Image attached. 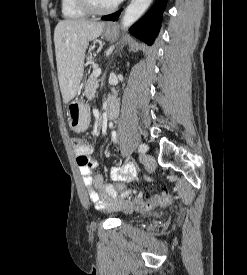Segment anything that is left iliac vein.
<instances>
[{
  "label": "left iliac vein",
  "instance_id": "left-iliac-vein-1",
  "mask_svg": "<svg viewBox=\"0 0 247 275\" xmlns=\"http://www.w3.org/2000/svg\"><path fill=\"white\" fill-rule=\"evenodd\" d=\"M140 160L148 170L152 171L155 169L156 162H155L154 157L142 153L140 156Z\"/></svg>",
  "mask_w": 247,
  "mask_h": 275
}]
</instances>
